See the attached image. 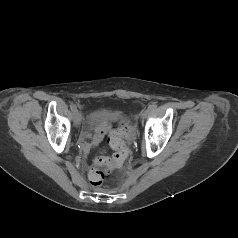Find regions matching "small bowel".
I'll return each instance as SVG.
<instances>
[{"label":"small bowel","mask_w":238,"mask_h":238,"mask_svg":"<svg viewBox=\"0 0 238 238\" xmlns=\"http://www.w3.org/2000/svg\"><path fill=\"white\" fill-rule=\"evenodd\" d=\"M87 124L94 132L84 130L81 134L80 146L86 152L97 147L111 130V123L104 116H90Z\"/></svg>","instance_id":"1"}]
</instances>
